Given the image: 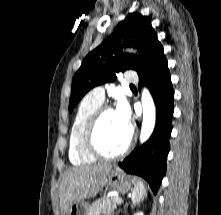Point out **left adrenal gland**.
<instances>
[{"mask_svg": "<svg viewBox=\"0 0 221 215\" xmlns=\"http://www.w3.org/2000/svg\"><path fill=\"white\" fill-rule=\"evenodd\" d=\"M128 206V204H126L124 207H127Z\"/></svg>", "mask_w": 221, "mask_h": 215, "instance_id": "a2214340", "label": "left adrenal gland"}]
</instances>
